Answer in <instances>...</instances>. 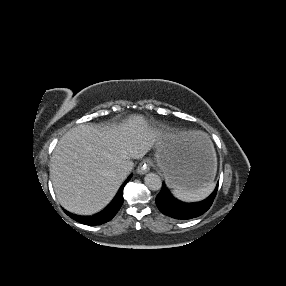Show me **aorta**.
<instances>
[{
	"instance_id": "aorta-1",
	"label": "aorta",
	"mask_w": 286,
	"mask_h": 286,
	"mask_svg": "<svg viewBox=\"0 0 286 286\" xmlns=\"http://www.w3.org/2000/svg\"><path fill=\"white\" fill-rule=\"evenodd\" d=\"M145 185L152 191L160 190L162 187V180L156 173H148L144 177Z\"/></svg>"
}]
</instances>
